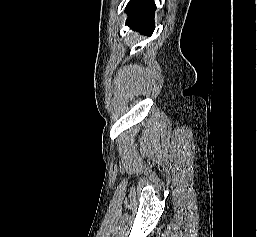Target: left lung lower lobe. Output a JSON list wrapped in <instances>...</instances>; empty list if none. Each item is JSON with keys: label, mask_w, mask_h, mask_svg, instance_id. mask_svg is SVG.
Listing matches in <instances>:
<instances>
[{"label": "left lung lower lobe", "mask_w": 257, "mask_h": 237, "mask_svg": "<svg viewBox=\"0 0 257 237\" xmlns=\"http://www.w3.org/2000/svg\"><path fill=\"white\" fill-rule=\"evenodd\" d=\"M154 0H130L126 7L128 19L126 24L131 28L151 34L154 30Z\"/></svg>", "instance_id": "0a47b994"}]
</instances>
